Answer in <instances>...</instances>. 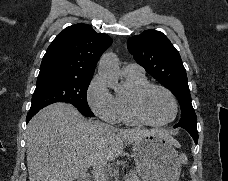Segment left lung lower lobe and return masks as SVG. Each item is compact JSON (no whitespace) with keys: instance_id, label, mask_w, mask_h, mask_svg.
<instances>
[{"instance_id":"obj_1","label":"left lung lower lobe","mask_w":228,"mask_h":181,"mask_svg":"<svg viewBox=\"0 0 228 181\" xmlns=\"http://www.w3.org/2000/svg\"><path fill=\"white\" fill-rule=\"evenodd\" d=\"M194 139V142L197 144L198 143V132L195 129H187L186 130Z\"/></svg>"}]
</instances>
